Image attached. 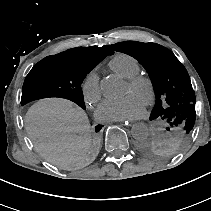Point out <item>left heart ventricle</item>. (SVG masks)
<instances>
[{"instance_id":"1","label":"left heart ventricle","mask_w":211,"mask_h":211,"mask_svg":"<svg viewBox=\"0 0 211 211\" xmlns=\"http://www.w3.org/2000/svg\"><path fill=\"white\" fill-rule=\"evenodd\" d=\"M134 94L136 95L143 103L147 100V93L145 89L140 90H133L131 87L126 83L124 94Z\"/></svg>"}]
</instances>
